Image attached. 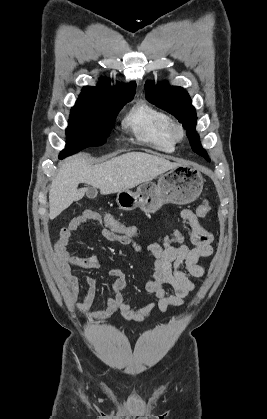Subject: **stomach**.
Returning a JSON list of instances; mask_svg holds the SVG:
<instances>
[{
	"instance_id": "obj_1",
	"label": "stomach",
	"mask_w": 267,
	"mask_h": 419,
	"mask_svg": "<svg viewBox=\"0 0 267 419\" xmlns=\"http://www.w3.org/2000/svg\"><path fill=\"white\" fill-rule=\"evenodd\" d=\"M204 179L197 167L179 164L162 174L155 184L141 183L136 192L123 190L117 194V204L124 211L139 207L145 213H155L162 205L193 202L202 192Z\"/></svg>"
}]
</instances>
